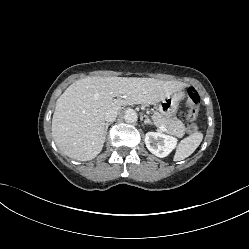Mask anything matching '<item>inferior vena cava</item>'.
Masks as SVG:
<instances>
[{
    "label": "inferior vena cava",
    "instance_id": "inferior-vena-cava-1",
    "mask_svg": "<svg viewBox=\"0 0 249 249\" xmlns=\"http://www.w3.org/2000/svg\"><path fill=\"white\" fill-rule=\"evenodd\" d=\"M119 110L120 107H113L108 109L105 113V121L107 122L115 121Z\"/></svg>",
    "mask_w": 249,
    "mask_h": 249
}]
</instances>
